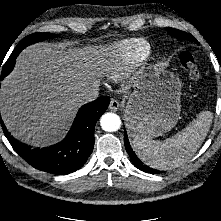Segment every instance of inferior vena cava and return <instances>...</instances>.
I'll return each instance as SVG.
<instances>
[{
	"mask_svg": "<svg viewBox=\"0 0 221 221\" xmlns=\"http://www.w3.org/2000/svg\"><path fill=\"white\" fill-rule=\"evenodd\" d=\"M99 96L98 86H91L85 88L80 93L77 94V99L80 103H88L96 100Z\"/></svg>",
	"mask_w": 221,
	"mask_h": 221,
	"instance_id": "obj_1",
	"label": "inferior vena cava"
}]
</instances>
